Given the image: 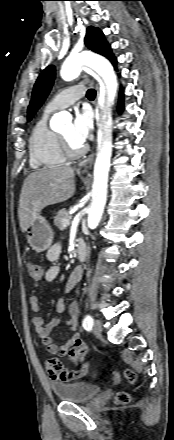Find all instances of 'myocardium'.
Wrapping results in <instances>:
<instances>
[{
	"mask_svg": "<svg viewBox=\"0 0 174 440\" xmlns=\"http://www.w3.org/2000/svg\"><path fill=\"white\" fill-rule=\"evenodd\" d=\"M59 139H60L61 149L66 158L76 159L85 152V147L83 146L77 149L73 148L68 142V140L61 133H59Z\"/></svg>",
	"mask_w": 174,
	"mask_h": 440,
	"instance_id": "1",
	"label": "myocardium"
}]
</instances>
